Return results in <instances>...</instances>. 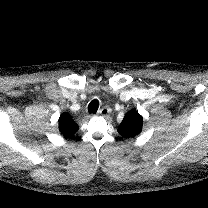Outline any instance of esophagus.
I'll return each mask as SVG.
<instances>
[{
    "mask_svg": "<svg viewBox=\"0 0 208 208\" xmlns=\"http://www.w3.org/2000/svg\"><path fill=\"white\" fill-rule=\"evenodd\" d=\"M111 112V109L107 106L101 108L99 111H98V115H101L103 117H106L110 114Z\"/></svg>",
    "mask_w": 208,
    "mask_h": 208,
    "instance_id": "esophagus-1",
    "label": "esophagus"
}]
</instances>
